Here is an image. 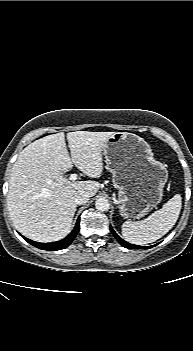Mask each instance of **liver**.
<instances>
[{
    "label": "liver",
    "mask_w": 193,
    "mask_h": 351,
    "mask_svg": "<svg viewBox=\"0 0 193 351\" xmlns=\"http://www.w3.org/2000/svg\"><path fill=\"white\" fill-rule=\"evenodd\" d=\"M115 132L75 131L40 138L26 146L13 165L7 206L15 228L37 242H54L66 237L72 227L80 192L93 197L100 188L96 181H71L64 173L73 164L85 175L103 173V150Z\"/></svg>",
    "instance_id": "liver-1"
}]
</instances>
